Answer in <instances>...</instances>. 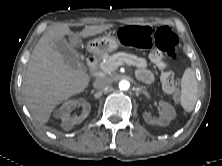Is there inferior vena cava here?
<instances>
[{
    "label": "inferior vena cava",
    "mask_w": 222,
    "mask_h": 166,
    "mask_svg": "<svg viewBox=\"0 0 222 166\" xmlns=\"http://www.w3.org/2000/svg\"><path fill=\"white\" fill-rule=\"evenodd\" d=\"M112 84V80L108 77H102V78H98L95 80L94 82V87L96 89H100V90H104V89H108Z\"/></svg>",
    "instance_id": "obj_1"
}]
</instances>
